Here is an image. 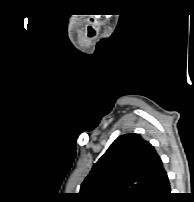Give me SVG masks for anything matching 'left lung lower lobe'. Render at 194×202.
<instances>
[{
    "label": "left lung lower lobe",
    "instance_id": "obj_1",
    "mask_svg": "<svg viewBox=\"0 0 194 202\" xmlns=\"http://www.w3.org/2000/svg\"><path fill=\"white\" fill-rule=\"evenodd\" d=\"M170 196V185L165 172L161 178L159 187L156 190L155 197L151 202H167Z\"/></svg>",
    "mask_w": 194,
    "mask_h": 202
}]
</instances>
